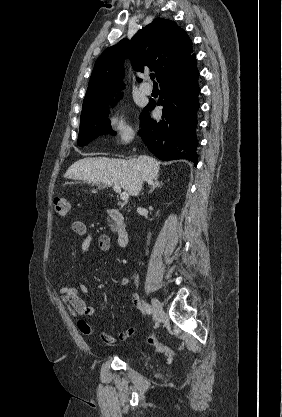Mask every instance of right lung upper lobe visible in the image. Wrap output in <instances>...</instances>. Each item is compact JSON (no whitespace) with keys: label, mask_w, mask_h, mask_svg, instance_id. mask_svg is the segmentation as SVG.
Wrapping results in <instances>:
<instances>
[{"label":"right lung upper lobe","mask_w":282,"mask_h":417,"mask_svg":"<svg viewBox=\"0 0 282 417\" xmlns=\"http://www.w3.org/2000/svg\"><path fill=\"white\" fill-rule=\"evenodd\" d=\"M192 52V41L183 29L171 20L156 18L130 41L123 39L104 50L95 63L85 98L122 90L125 59L131 60L136 71L143 72L148 66L160 82L169 73L195 60Z\"/></svg>","instance_id":"1"}]
</instances>
